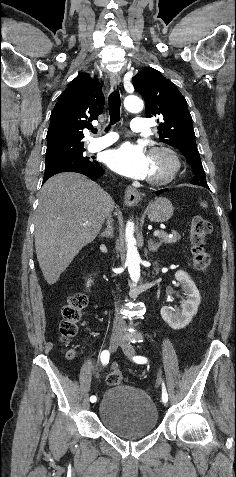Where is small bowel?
<instances>
[{
	"label": "small bowel",
	"mask_w": 236,
	"mask_h": 477,
	"mask_svg": "<svg viewBox=\"0 0 236 477\" xmlns=\"http://www.w3.org/2000/svg\"><path fill=\"white\" fill-rule=\"evenodd\" d=\"M92 369L94 370V369H95V366H93Z\"/></svg>",
	"instance_id": "c3829d8e"
}]
</instances>
